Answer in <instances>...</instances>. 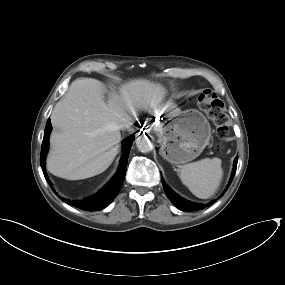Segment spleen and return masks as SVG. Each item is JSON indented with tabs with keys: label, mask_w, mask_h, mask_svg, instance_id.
Masks as SVG:
<instances>
[{
	"label": "spleen",
	"mask_w": 285,
	"mask_h": 285,
	"mask_svg": "<svg viewBox=\"0 0 285 285\" xmlns=\"http://www.w3.org/2000/svg\"><path fill=\"white\" fill-rule=\"evenodd\" d=\"M221 159L205 158L179 166L178 172L182 183L196 197L207 199L218 190L223 177Z\"/></svg>",
	"instance_id": "spleen-1"
}]
</instances>
